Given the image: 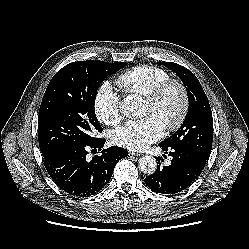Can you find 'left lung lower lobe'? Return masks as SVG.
I'll return each instance as SVG.
<instances>
[{
    "instance_id": "0a47b994",
    "label": "left lung lower lobe",
    "mask_w": 249,
    "mask_h": 249,
    "mask_svg": "<svg viewBox=\"0 0 249 249\" xmlns=\"http://www.w3.org/2000/svg\"><path fill=\"white\" fill-rule=\"evenodd\" d=\"M159 146L172 157L171 164L161 166L160 161H158L156 171L146 177L145 183L156 193L167 195L180 193L197 179L207 160L187 149L175 146L166 147L162 144Z\"/></svg>"
}]
</instances>
